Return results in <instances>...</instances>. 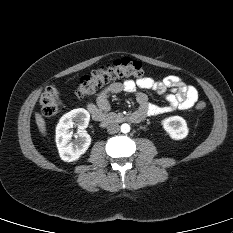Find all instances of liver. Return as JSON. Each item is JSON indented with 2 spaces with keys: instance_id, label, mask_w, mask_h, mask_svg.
Wrapping results in <instances>:
<instances>
[{
  "instance_id": "1",
  "label": "liver",
  "mask_w": 233,
  "mask_h": 233,
  "mask_svg": "<svg viewBox=\"0 0 233 233\" xmlns=\"http://www.w3.org/2000/svg\"><path fill=\"white\" fill-rule=\"evenodd\" d=\"M35 120L36 124L38 126L39 131L41 132L42 135H46V124L44 118L39 114L35 113Z\"/></svg>"
}]
</instances>
